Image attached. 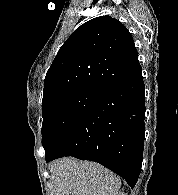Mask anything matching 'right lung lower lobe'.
I'll return each mask as SVG.
<instances>
[{"instance_id":"98d812e1","label":"right lung lower lobe","mask_w":178,"mask_h":195,"mask_svg":"<svg viewBox=\"0 0 178 195\" xmlns=\"http://www.w3.org/2000/svg\"><path fill=\"white\" fill-rule=\"evenodd\" d=\"M142 71L101 89L46 162L73 156L102 164L133 188L141 172L145 138Z\"/></svg>"}]
</instances>
